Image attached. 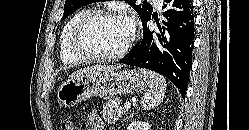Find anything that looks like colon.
Returning a JSON list of instances; mask_svg holds the SVG:
<instances>
[{
  "label": "colon",
  "instance_id": "obj_1",
  "mask_svg": "<svg viewBox=\"0 0 249 130\" xmlns=\"http://www.w3.org/2000/svg\"><path fill=\"white\" fill-rule=\"evenodd\" d=\"M60 128L61 130H80L75 122L65 117L61 118Z\"/></svg>",
  "mask_w": 249,
  "mask_h": 130
}]
</instances>
